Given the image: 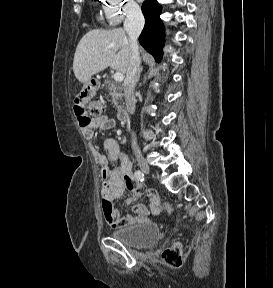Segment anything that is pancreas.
I'll list each match as a JSON object with an SVG mask.
<instances>
[{
    "mask_svg": "<svg viewBox=\"0 0 273 288\" xmlns=\"http://www.w3.org/2000/svg\"><path fill=\"white\" fill-rule=\"evenodd\" d=\"M104 83L106 85L108 95L112 98V102L117 105L123 96L120 85L108 79H106Z\"/></svg>",
    "mask_w": 273,
    "mask_h": 288,
    "instance_id": "obj_1",
    "label": "pancreas"
}]
</instances>
